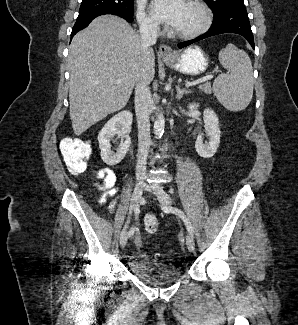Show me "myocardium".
Masks as SVG:
<instances>
[{
    "label": "myocardium",
    "mask_w": 298,
    "mask_h": 325,
    "mask_svg": "<svg viewBox=\"0 0 298 325\" xmlns=\"http://www.w3.org/2000/svg\"><path fill=\"white\" fill-rule=\"evenodd\" d=\"M185 1L189 2L195 8L200 17V23L195 29L186 32L177 33L170 29L169 34L172 37L179 39H192L203 34L208 29L210 24V17L206 8L198 0Z\"/></svg>",
    "instance_id": "obj_1"
}]
</instances>
